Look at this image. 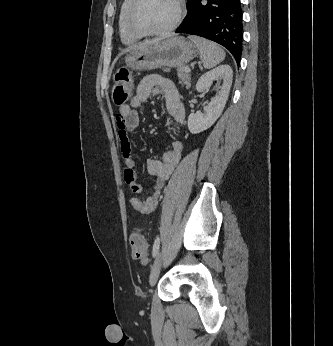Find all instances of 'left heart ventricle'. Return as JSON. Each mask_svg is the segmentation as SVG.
I'll return each instance as SVG.
<instances>
[{
    "label": "left heart ventricle",
    "instance_id": "obj_1",
    "mask_svg": "<svg viewBox=\"0 0 333 346\" xmlns=\"http://www.w3.org/2000/svg\"><path fill=\"white\" fill-rule=\"evenodd\" d=\"M175 15V0H143L137 12V22L147 30H160L169 26Z\"/></svg>",
    "mask_w": 333,
    "mask_h": 346
}]
</instances>
